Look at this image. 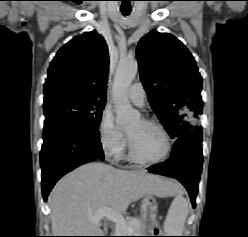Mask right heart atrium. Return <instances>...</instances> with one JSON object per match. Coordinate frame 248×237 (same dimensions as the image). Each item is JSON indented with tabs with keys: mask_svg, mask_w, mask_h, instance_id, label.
<instances>
[{
	"mask_svg": "<svg viewBox=\"0 0 248 237\" xmlns=\"http://www.w3.org/2000/svg\"><path fill=\"white\" fill-rule=\"evenodd\" d=\"M98 138L100 145L107 156L119 158L126 147V137L115 124L113 114L105 110L98 125Z\"/></svg>",
	"mask_w": 248,
	"mask_h": 237,
	"instance_id": "d8ad5b80",
	"label": "right heart atrium"
}]
</instances>
